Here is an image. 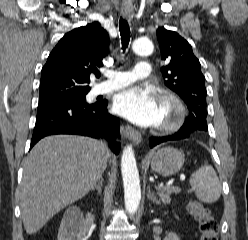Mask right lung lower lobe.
I'll list each match as a JSON object with an SVG mask.
<instances>
[{
	"label": "right lung lower lobe",
	"instance_id": "1",
	"mask_svg": "<svg viewBox=\"0 0 248 240\" xmlns=\"http://www.w3.org/2000/svg\"><path fill=\"white\" fill-rule=\"evenodd\" d=\"M107 104L106 100L94 104L70 99L39 101L30 148L48 135L78 134L104 137L118 154L121 144L115 139L119 136V120L108 114Z\"/></svg>",
	"mask_w": 248,
	"mask_h": 240
}]
</instances>
